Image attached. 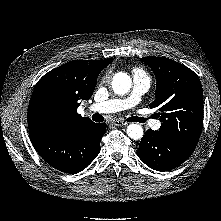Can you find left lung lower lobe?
Masks as SVG:
<instances>
[{
	"label": "left lung lower lobe",
	"instance_id": "obj_1",
	"mask_svg": "<svg viewBox=\"0 0 221 221\" xmlns=\"http://www.w3.org/2000/svg\"><path fill=\"white\" fill-rule=\"evenodd\" d=\"M195 147L162 137L157 131L147 130L137 151L138 157L150 168L167 171L182 164Z\"/></svg>",
	"mask_w": 221,
	"mask_h": 221
}]
</instances>
